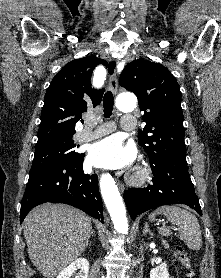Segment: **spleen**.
<instances>
[{
    "instance_id": "obj_1",
    "label": "spleen",
    "mask_w": 221,
    "mask_h": 278,
    "mask_svg": "<svg viewBox=\"0 0 221 278\" xmlns=\"http://www.w3.org/2000/svg\"><path fill=\"white\" fill-rule=\"evenodd\" d=\"M156 215H164L172 224L178 226V237L191 249L198 251L202 246V234L197 218L189 211L179 206H161L149 215L154 221ZM159 234L169 236L171 230L166 227L159 229Z\"/></svg>"
}]
</instances>
